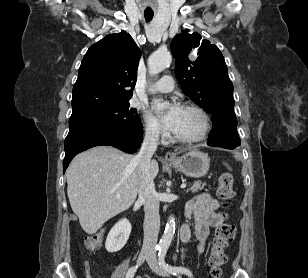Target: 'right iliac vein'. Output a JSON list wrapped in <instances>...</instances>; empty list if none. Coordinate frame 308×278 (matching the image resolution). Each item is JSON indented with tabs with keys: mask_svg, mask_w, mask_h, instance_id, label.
<instances>
[{
	"mask_svg": "<svg viewBox=\"0 0 308 278\" xmlns=\"http://www.w3.org/2000/svg\"><path fill=\"white\" fill-rule=\"evenodd\" d=\"M150 256V253L148 251H141L138 259H137V263L138 264H142L144 262L145 259H147Z\"/></svg>",
	"mask_w": 308,
	"mask_h": 278,
	"instance_id": "1",
	"label": "right iliac vein"
}]
</instances>
